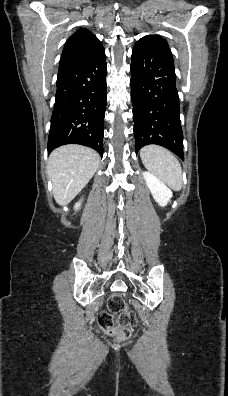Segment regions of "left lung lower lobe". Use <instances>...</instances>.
I'll list each match as a JSON object with an SVG mask.
<instances>
[{
    "label": "left lung lower lobe",
    "instance_id": "0a47b994",
    "mask_svg": "<svg viewBox=\"0 0 228 396\" xmlns=\"http://www.w3.org/2000/svg\"><path fill=\"white\" fill-rule=\"evenodd\" d=\"M130 71L136 153L145 145L157 144L183 159L179 96L170 49L153 40L137 41Z\"/></svg>",
    "mask_w": 228,
    "mask_h": 396
}]
</instances>
